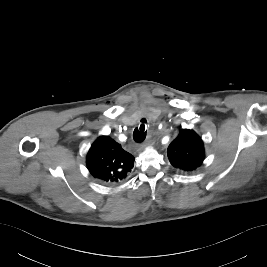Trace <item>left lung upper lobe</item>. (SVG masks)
I'll use <instances>...</instances> for the list:
<instances>
[{"label":"left lung upper lobe","mask_w":267,"mask_h":267,"mask_svg":"<svg viewBox=\"0 0 267 267\" xmlns=\"http://www.w3.org/2000/svg\"><path fill=\"white\" fill-rule=\"evenodd\" d=\"M167 155L172 166L179 172H193L204 160L203 141L193 130L182 129L169 145Z\"/></svg>","instance_id":"obj_1"}]
</instances>
